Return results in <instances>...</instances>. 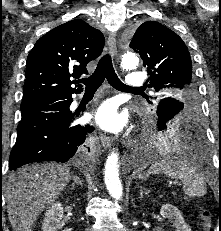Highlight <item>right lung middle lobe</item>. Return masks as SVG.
<instances>
[{
	"label": "right lung middle lobe",
	"instance_id": "dd1d6c3e",
	"mask_svg": "<svg viewBox=\"0 0 221 231\" xmlns=\"http://www.w3.org/2000/svg\"><path fill=\"white\" fill-rule=\"evenodd\" d=\"M40 100H23L22 104H21V108L29 105V104H32V103H35V102H38Z\"/></svg>",
	"mask_w": 221,
	"mask_h": 231
}]
</instances>
